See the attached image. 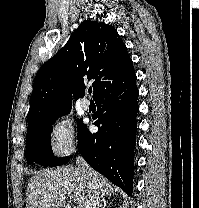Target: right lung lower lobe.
<instances>
[{
  "mask_svg": "<svg viewBox=\"0 0 199 208\" xmlns=\"http://www.w3.org/2000/svg\"><path fill=\"white\" fill-rule=\"evenodd\" d=\"M138 95L135 74L101 92L94 99L98 132L92 134L85 126L78 141L86 162L129 195L133 191Z\"/></svg>",
  "mask_w": 199,
  "mask_h": 208,
  "instance_id": "obj_1",
  "label": "right lung lower lobe"
}]
</instances>
